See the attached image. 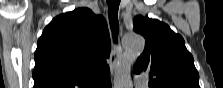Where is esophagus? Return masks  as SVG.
I'll list each match as a JSON object with an SVG mask.
<instances>
[{
    "mask_svg": "<svg viewBox=\"0 0 223 88\" xmlns=\"http://www.w3.org/2000/svg\"><path fill=\"white\" fill-rule=\"evenodd\" d=\"M120 57H121V48L119 46H116L111 50L110 59H109V66H110L112 75H114L116 71Z\"/></svg>",
    "mask_w": 223,
    "mask_h": 88,
    "instance_id": "esophagus-1",
    "label": "esophagus"
}]
</instances>
